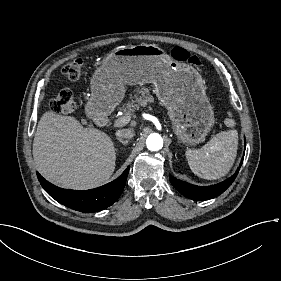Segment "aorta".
<instances>
[{
	"label": "aorta",
	"mask_w": 281,
	"mask_h": 281,
	"mask_svg": "<svg viewBox=\"0 0 281 281\" xmlns=\"http://www.w3.org/2000/svg\"><path fill=\"white\" fill-rule=\"evenodd\" d=\"M147 148L151 151H158L163 147V139L157 133H152L146 140Z\"/></svg>",
	"instance_id": "obj_1"
}]
</instances>
